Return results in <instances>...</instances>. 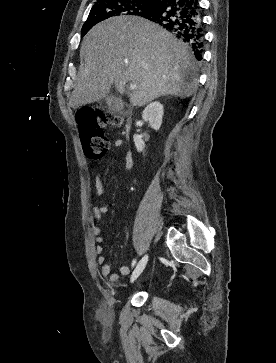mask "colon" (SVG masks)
I'll use <instances>...</instances> for the list:
<instances>
[{
    "instance_id": "1",
    "label": "colon",
    "mask_w": 276,
    "mask_h": 363,
    "mask_svg": "<svg viewBox=\"0 0 276 363\" xmlns=\"http://www.w3.org/2000/svg\"><path fill=\"white\" fill-rule=\"evenodd\" d=\"M84 152L90 159H99L109 149V139L104 126L119 123V118L111 113L83 110L77 114Z\"/></svg>"
}]
</instances>
